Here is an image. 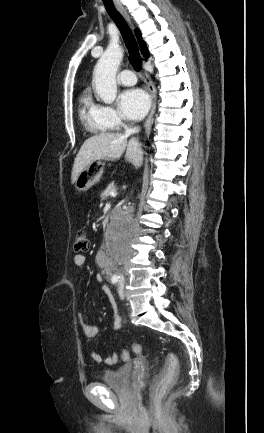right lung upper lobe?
I'll use <instances>...</instances> for the list:
<instances>
[{
    "label": "right lung upper lobe",
    "instance_id": "obj_1",
    "mask_svg": "<svg viewBox=\"0 0 264 433\" xmlns=\"http://www.w3.org/2000/svg\"><path fill=\"white\" fill-rule=\"evenodd\" d=\"M136 33L138 34L139 39L141 40V39H142V37H141V33H140V31H139L138 29L136 30ZM140 47H141L142 54H143L146 58H148V57H149V52H148V49H147V47H146V43H145L144 41H142V43L140 44Z\"/></svg>",
    "mask_w": 264,
    "mask_h": 433
}]
</instances>
